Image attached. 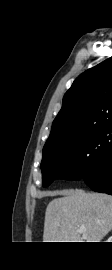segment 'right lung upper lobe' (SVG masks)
Segmentation results:
<instances>
[{
    "mask_svg": "<svg viewBox=\"0 0 112 270\" xmlns=\"http://www.w3.org/2000/svg\"><path fill=\"white\" fill-rule=\"evenodd\" d=\"M112 124V57L79 75L63 97L43 149Z\"/></svg>",
    "mask_w": 112,
    "mask_h": 270,
    "instance_id": "cb5924a9",
    "label": "right lung upper lobe"
}]
</instances>
